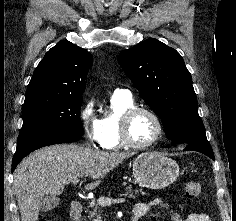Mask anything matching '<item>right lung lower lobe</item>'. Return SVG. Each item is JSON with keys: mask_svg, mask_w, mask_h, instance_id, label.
<instances>
[{"mask_svg": "<svg viewBox=\"0 0 236 221\" xmlns=\"http://www.w3.org/2000/svg\"><path fill=\"white\" fill-rule=\"evenodd\" d=\"M80 138L78 135L54 132H39L18 138L16 152L12 160V172L18 163L34 150L52 144L75 142Z\"/></svg>", "mask_w": 236, "mask_h": 221, "instance_id": "obj_1", "label": "right lung lower lobe"}]
</instances>
